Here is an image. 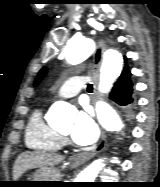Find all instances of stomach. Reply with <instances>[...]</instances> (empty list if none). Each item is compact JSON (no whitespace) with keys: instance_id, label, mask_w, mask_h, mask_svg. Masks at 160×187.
Instances as JSON below:
<instances>
[{"instance_id":"stomach-1","label":"stomach","mask_w":160,"mask_h":187,"mask_svg":"<svg viewBox=\"0 0 160 187\" xmlns=\"http://www.w3.org/2000/svg\"><path fill=\"white\" fill-rule=\"evenodd\" d=\"M61 178L59 171L54 167L43 168L37 170L28 186L30 187H48L54 186L53 182H59L58 180Z\"/></svg>"}]
</instances>
